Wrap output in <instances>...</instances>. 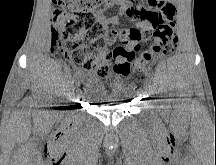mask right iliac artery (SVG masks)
<instances>
[{"instance_id":"1","label":"right iliac artery","mask_w":216,"mask_h":165,"mask_svg":"<svg viewBox=\"0 0 216 165\" xmlns=\"http://www.w3.org/2000/svg\"><path fill=\"white\" fill-rule=\"evenodd\" d=\"M76 77H77V74H75V75H72L71 77H70V81H69V88L67 89L68 91H67V97L69 98L71 95V90L73 89L72 87H73V85H74V82H75V79H76Z\"/></svg>"}]
</instances>
